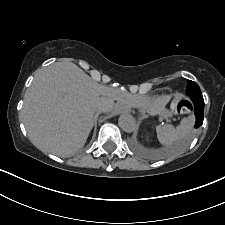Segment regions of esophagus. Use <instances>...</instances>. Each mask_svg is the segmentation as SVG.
I'll return each instance as SVG.
<instances>
[{
    "instance_id": "obj_1",
    "label": "esophagus",
    "mask_w": 225,
    "mask_h": 225,
    "mask_svg": "<svg viewBox=\"0 0 225 225\" xmlns=\"http://www.w3.org/2000/svg\"><path fill=\"white\" fill-rule=\"evenodd\" d=\"M123 110H124L123 108H117V109L114 110V113H115V114H119V113H121Z\"/></svg>"
}]
</instances>
